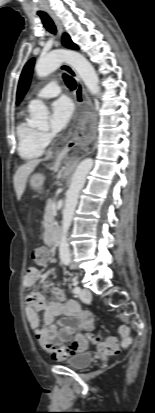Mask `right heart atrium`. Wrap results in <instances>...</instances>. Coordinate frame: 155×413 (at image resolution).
I'll return each instance as SVG.
<instances>
[{
    "label": "right heart atrium",
    "instance_id": "right-heart-atrium-1",
    "mask_svg": "<svg viewBox=\"0 0 155 413\" xmlns=\"http://www.w3.org/2000/svg\"><path fill=\"white\" fill-rule=\"evenodd\" d=\"M40 138L44 146L48 145L51 141V136L47 132H40Z\"/></svg>",
    "mask_w": 155,
    "mask_h": 413
}]
</instances>
